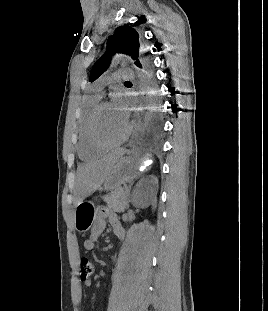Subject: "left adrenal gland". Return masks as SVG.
<instances>
[{
  "label": "left adrenal gland",
  "mask_w": 268,
  "mask_h": 311,
  "mask_svg": "<svg viewBox=\"0 0 268 311\" xmlns=\"http://www.w3.org/2000/svg\"><path fill=\"white\" fill-rule=\"evenodd\" d=\"M127 195L130 198V190L127 191ZM129 202H131V200H129Z\"/></svg>",
  "instance_id": "1"
}]
</instances>
